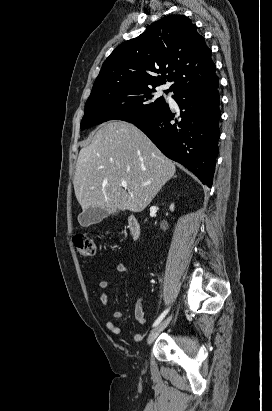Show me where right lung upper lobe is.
Segmentation results:
<instances>
[{
	"instance_id": "right-lung-upper-lobe-1",
	"label": "right lung upper lobe",
	"mask_w": 272,
	"mask_h": 411,
	"mask_svg": "<svg viewBox=\"0 0 272 411\" xmlns=\"http://www.w3.org/2000/svg\"><path fill=\"white\" fill-rule=\"evenodd\" d=\"M210 55L204 38L186 16H166L111 53L92 92L121 86L156 87L166 82H173L168 91L174 93L198 88L216 78Z\"/></svg>"
}]
</instances>
